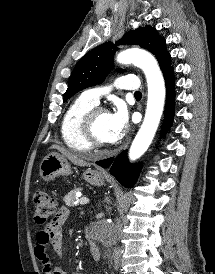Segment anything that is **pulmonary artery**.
Here are the masks:
<instances>
[{
	"instance_id": "pulmonary-artery-1",
	"label": "pulmonary artery",
	"mask_w": 215,
	"mask_h": 274,
	"mask_svg": "<svg viewBox=\"0 0 215 274\" xmlns=\"http://www.w3.org/2000/svg\"><path fill=\"white\" fill-rule=\"evenodd\" d=\"M115 86L119 89H126V90H138L139 82L137 77L132 75H125L120 76L115 81ZM109 88H92L86 90L83 94L92 102L98 104L100 97L107 93Z\"/></svg>"
}]
</instances>
